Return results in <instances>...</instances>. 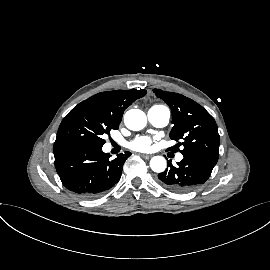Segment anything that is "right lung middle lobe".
<instances>
[{
	"label": "right lung middle lobe",
	"instance_id": "1",
	"mask_svg": "<svg viewBox=\"0 0 270 270\" xmlns=\"http://www.w3.org/2000/svg\"><path fill=\"white\" fill-rule=\"evenodd\" d=\"M112 129L118 128L97 119L89 107L80 103L62 120L54 145L77 143L102 147L103 136Z\"/></svg>",
	"mask_w": 270,
	"mask_h": 270
}]
</instances>
